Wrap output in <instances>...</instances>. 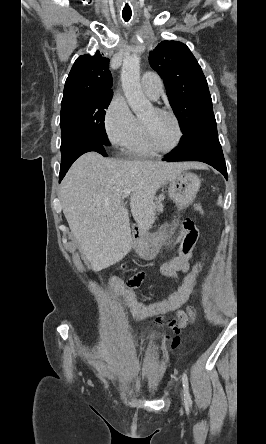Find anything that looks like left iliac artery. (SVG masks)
I'll return each mask as SVG.
<instances>
[{
    "label": "left iliac artery",
    "mask_w": 266,
    "mask_h": 444,
    "mask_svg": "<svg viewBox=\"0 0 266 444\" xmlns=\"http://www.w3.org/2000/svg\"><path fill=\"white\" fill-rule=\"evenodd\" d=\"M182 384H183V389H184L185 400H186L187 403H191V396H190V393H189L188 377H187V375L185 373L182 375Z\"/></svg>",
    "instance_id": "obj_1"
}]
</instances>
